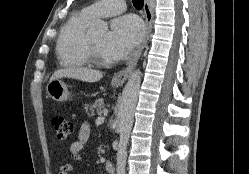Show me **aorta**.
<instances>
[{"mask_svg":"<svg viewBox=\"0 0 249 174\" xmlns=\"http://www.w3.org/2000/svg\"><path fill=\"white\" fill-rule=\"evenodd\" d=\"M94 31L106 29L105 22L97 20L92 24ZM141 84V71L135 70L129 77L122 93L121 103L118 111V133L120 141L117 152V174H125L127 144L134 121V112Z\"/></svg>","mask_w":249,"mask_h":174,"instance_id":"obj_1","label":"aorta"}]
</instances>
